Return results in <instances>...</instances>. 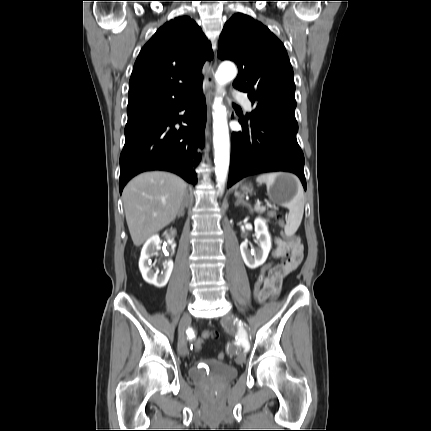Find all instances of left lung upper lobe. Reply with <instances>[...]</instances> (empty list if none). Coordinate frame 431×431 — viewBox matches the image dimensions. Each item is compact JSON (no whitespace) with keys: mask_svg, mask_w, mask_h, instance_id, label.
<instances>
[{"mask_svg":"<svg viewBox=\"0 0 431 431\" xmlns=\"http://www.w3.org/2000/svg\"><path fill=\"white\" fill-rule=\"evenodd\" d=\"M218 47L220 59L238 66L234 87L256 104L250 117L272 115L297 123L293 69L284 45L266 26L235 14L225 24Z\"/></svg>","mask_w":431,"mask_h":431,"instance_id":"left-lung-upper-lobe-1","label":"left lung upper lobe"}]
</instances>
